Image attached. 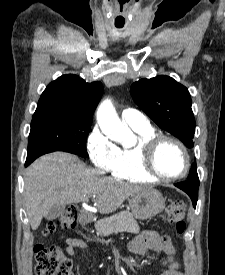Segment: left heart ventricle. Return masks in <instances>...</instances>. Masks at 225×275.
Wrapping results in <instances>:
<instances>
[{
    "instance_id": "left-heart-ventricle-1",
    "label": "left heart ventricle",
    "mask_w": 225,
    "mask_h": 275,
    "mask_svg": "<svg viewBox=\"0 0 225 275\" xmlns=\"http://www.w3.org/2000/svg\"><path fill=\"white\" fill-rule=\"evenodd\" d=\"M155 165L162 175L172 176L180 173L184 166V157L178 146L165 142L157 151Z\"/></svg>"
}]
</instances>
